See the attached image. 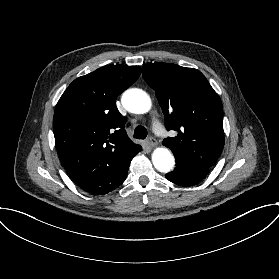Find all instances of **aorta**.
Masks as SVG:
<instances>
[{"mask_svg": "<svg viewBox=\"0 0 279 279\" xmlns=\"http://www.w3.org/2000/svg\"><path fill=\"white\" fill-rule=\"evenodd\" d=\"M123 107L130 113L144 114L151 108V99L149 95L138 88L126 90L121 98ZM152 162L154 167L162 172H170L174 165L175 159L168 148L158 147L152 153Z\"/></svg>", "mask_w": 279, "mask_h": 279, "instance_id": "aorta-1", "label": "aorta"}]
</instances>
